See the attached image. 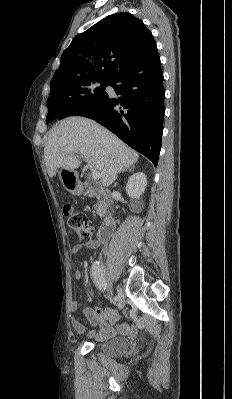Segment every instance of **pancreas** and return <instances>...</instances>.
Returning <instances> with one entry per match:
<instances>
[{
  "mask_svg": "<svg viewBox=\"0 0 232 399\" xmlns=\"http://www.w3.org/2000/svg\"><path fill=\"white\" fill-rule=\"evenodd\" d=\"M98 203H96V211L98 213V215H100V217H105L106 213H107V205L105 203V200H100L99 196H98Z\"/></svg>",
  "mask_w": 232,
  "mask_h": 399,
  "instance_id": "pancreas-1",
  "label": "pancreas"
}]
</instances>
